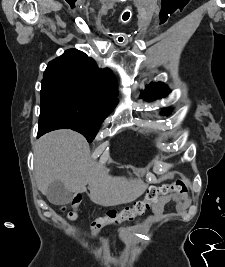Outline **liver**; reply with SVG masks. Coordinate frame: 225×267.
Segmentation results:
<instances>
[{
    "mask_svg": "<svg viewBox=\"0 0 225 267\" xmlns=\"http://www.w3.org/2000/svg\"><path fill=\"white\" fill-rule=\"evenodd\" d=\"M34 176L43 195L55 180L61 181L70 193L86 192L88 184L90 199L102 206H114L141 193L130 194L124 186L115 185L105 168L90 159L86 139L67 129L50 132L37 141Z\"/></svg>",
    "mask_w": 225,
    "mask_h": 267,
    "instance_id": "liver-1",
    "label": "liver"
}]
</instances>
